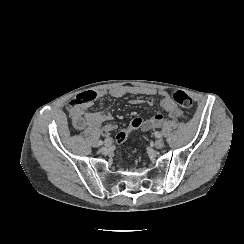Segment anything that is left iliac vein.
I'll use <instances>...</instances> for the list:
<instances>
[{
    "label": "left iliac vein",
    "instance_id": "1",
    "mask_svg": "<svg viewBox=\"0 0 244 244\" xmlns=\"http://www.w3.org/2000/svg\"><path fill=\"white\" fill-rule=\"evenodd\" d=\"M154 145L156 148L161 149L164 146V141L162 139H157Z\"/></svg>",
    "mask_w": 244,
    "mask_h": 244
}]
</instances>
